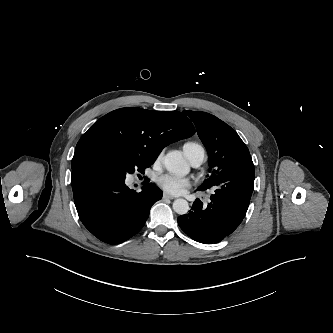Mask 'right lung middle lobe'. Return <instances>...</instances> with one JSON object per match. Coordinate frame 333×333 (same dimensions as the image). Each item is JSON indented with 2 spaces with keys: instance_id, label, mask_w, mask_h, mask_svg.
I'll return each instance as SVG.
<instances>
[{
  "instance_id": "dd1d6c3e",
  "label": "right lung middle lobe",
  "mask_w": 333,
  "mask_h": 333,
  "mask_svg": "<svg viewBox=\"0 0 333 333\" xmlns=\"http://www.w3.org/2000/svg\"><path fill=\"white\" fill-rule=\"evenodd\" d=\"M155 159L147 155L99 147L87 150L81 162L102 169L113 177L125 179L127 173L144 172Z\"/></svg>"
}]
</instances>
